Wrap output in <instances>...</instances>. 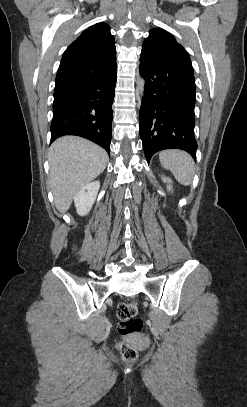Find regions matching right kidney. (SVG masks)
Returning a JSON list of instances; mask_svg holds the SVG:
<instances>
[{"mask_svg": "<svg viewBox=\"0 0 247 407\" xmlns=\"http://www.w3.org/2000/svg\"><path fill=\"white\" fill-rule=\"evenodd\" d=\"M100 188V182L94 181L85 185L74 197L76 211L79 215H87L96 199Z\"/></svg>", "mask_w": 247, "mask_h": 407, "instance_id": "ca27d5eb", "label": "right kidney"}]
</instances>
